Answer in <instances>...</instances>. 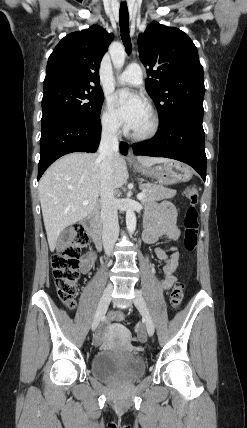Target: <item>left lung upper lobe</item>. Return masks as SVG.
Segmentation results:
<instances>
[{"mask_svg": "<svg viewBox=\"0 0 247 428\" xmlns=\"http://www.w3.org/2000/svg\"><path fill=\"white\" fill-rule=\"evenodd\" d=\"M145 86L161 121L178 112L203 114V69L192 40L180 29L153 22L138 37Z\"/></svg>", "mask_w": 247, "mask_h": 428, "instance_id": "5c2ea615", "label": "left lung upper lobe"}]
</instances>
